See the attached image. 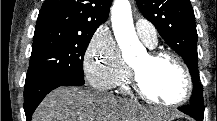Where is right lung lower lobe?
I'll list each match as a JSON object with an SVG mask.
<instances>
[{
    "label": "right lung lower lobe",
    "instance_id": "right-lung-lower-lobe-1",
    "mask_svg": "<svg viewBox=\"0 0 217 121\" xmlns=\"http://www.w3.org/2000/svg\"><path fill=\"white\" fill-rule=\"evenodd\" d=\"M71 76L63 74H50L40 77L24 86V111L27 121L31 120L32 114L41 103L43 98L53 89L60 86H81Z\"/></svg>",
    "mask_w": 217,
    "mask_h": 121
}]
</instances>
